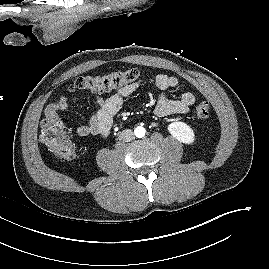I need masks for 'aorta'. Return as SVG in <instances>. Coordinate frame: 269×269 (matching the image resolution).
Wrapping results in <instances>:
<instances>
[{
  "label": "aorta",
  "instance_id": "obj_1",
  "mask_svg": "<svg viewBox=\"0 0 269 269\" xmlns=\"http://www.w3.org/2000/svg\"><path fill=\"white\" fill-rule=\"evenodd\" d=\"M145 132H146V130L142 126H138L134 130L135 136L138 138H142L145 135Z\"/></svg>",
  "mask_w": 269,
  "mask_h": 269
}]
</instances>
